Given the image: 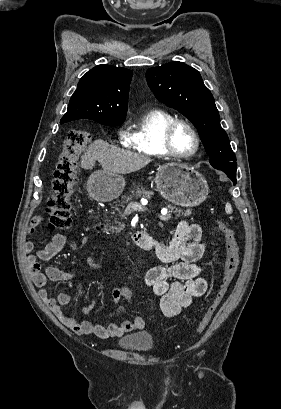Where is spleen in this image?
<instances>
[{"label": "spleen", "instance_id": "1", "mask_svg": "<svg viewBox=\"0 0 281 409\" xmlns=\"http://www.w3.org/2000/svg\"><path fill=\"white\" fill-rule=\"evenodd\" d=\"M225 211H226L227 215H232L233 209H232V207L230 205V202H226Z\"/></svg>", "mask_w": 281, "mask_h": 409}]
</instances>
